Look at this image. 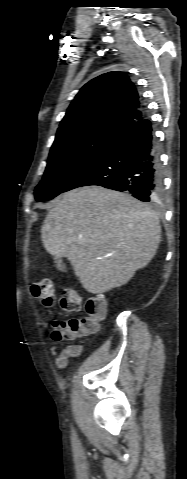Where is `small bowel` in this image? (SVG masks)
<instances>
[{"label":"small bowel","instance_id":"c3829d8e","mask_svg":"<svg viewBox=\"0 0 187 479\" xmlns=\"http://www.w3.org/2000/svg\"><path fill=\"white\" fill-rule=\"evenodd\" d=\"M58 322L59 321H54L52 323L53 326L56 327ZM83 352L84 348L78 344H68L64 346L60 352H57L54 346L50 348V353L54 358L55 365L59 369H66L70 365V359L81 356Z\"/></svg>","mask_w":187,"mask_h":479}]
</instances>
